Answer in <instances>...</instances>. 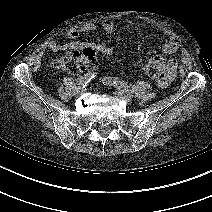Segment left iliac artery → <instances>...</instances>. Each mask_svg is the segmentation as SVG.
I'll return each instance as SVG.
<instances>
[{
    "instance_id": "1",
    "label": "left iliac artery",
    "mask_w": 212,
    "mask_h": 212,
    "mask_svg": "<svg viewBox=\"0 0 212 212\" xmlns=\"http://www.w3.org/2000/svg\"><path fill=\"white\" fill-rule=\"evenodd\" d=\"M102 81H103L104 85H114L116 88H118L123 93L132 95V92L129 89V86L127 85V83H125L123 80H121L119 78L105 76Z\"/></svg>"
}]
</instances>
